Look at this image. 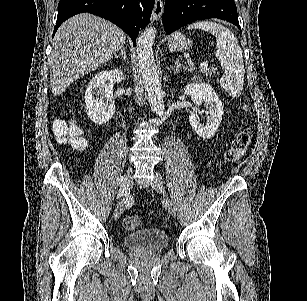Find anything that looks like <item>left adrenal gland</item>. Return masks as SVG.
Masks as SVG:
<instances>
[{"label": "left adrenal gland", "instance_id": "obj_1", "mask_svg": "<svg viewBox=\"0 0 307 301\" xmlns=\"http://www.w3.org/2000/svg\"><path fill=\"white\" fill-rule=\"evenodd\" d=\"M188 70L187 66H184V64H181L179 58H175L174 62V72H180V70Z\"/></svg>", "mask_w": 307, "mask_h": 301}]
</instances>
